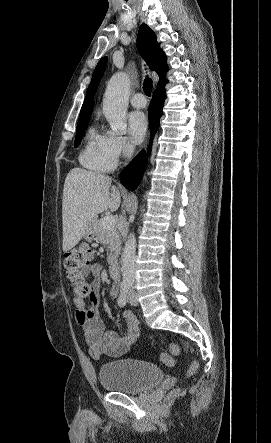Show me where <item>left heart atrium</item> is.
Returning a JSON list of instances; mask_svg holds the SVG:
<instances>
[{
  "label": "left heart atrium",
  "instance_id": "1",
  "mask_svg": "<svg viewBox=\"0 0 271 443\" xmlns=\"http://www.w3.org/2000/svg\"><path fill=\"white\" fill-rule=\"evenodd\" d=\"M131 137L134 143L139 144L144 141L148 133V120L141 111H134L128 117Z\"/></svg>",
  "mask_w": 271,
  "mask_h": 443
}]
</instances>
